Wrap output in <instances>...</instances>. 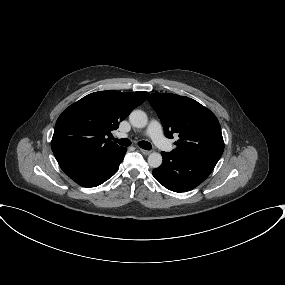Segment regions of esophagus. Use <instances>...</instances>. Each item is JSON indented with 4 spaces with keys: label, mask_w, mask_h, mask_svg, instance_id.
<instances>
[{
    "label": "esophagus",
    "mask_w": 285,
    "mask_h": 285,
    "mask_svg": "<svg viewBox=\"0 0 285 285\" xmlns=\"http://www.w3.org/2000/svg\"><path fill=\"white\" fill-rule=\"evenodd\" d=\"M141 153L144 155H149L151 153V151L149 150H144V149H140Z\"/></svg>",
    "instance_id": "1"
}]
</instances>
